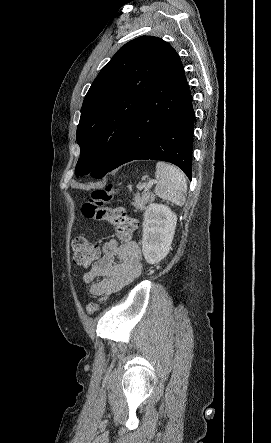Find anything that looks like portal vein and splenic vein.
I'll list each match as a JSON object with an SVG mask.
<instances>
[{"mask_svg":"<svg viewBox=\"0 0 271 443\" xmlns=\"http://www.w3.org/2000/svg\"><path fill=\"white\" fill-rule=\"evenodd\" d=\"M153 184H157V180H150V182H147V184H145L143 192H149L151 190Z\"/></svg>","mask_w":271,"mask_h":443,"instance_id":"18ae733b","label":"portal vein and splenic vein"}]
</instances>
